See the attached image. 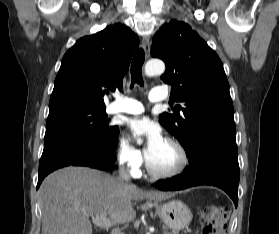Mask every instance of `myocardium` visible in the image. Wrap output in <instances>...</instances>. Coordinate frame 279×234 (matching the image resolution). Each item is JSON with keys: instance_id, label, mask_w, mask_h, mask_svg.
Returning <instances> with one entry per match:
<instances>
[{"instance_id": "myocardium-1", "label": "myocardium", "mask_w": 279, "mask_h": 234, "mask_svg": "<svg viewBox=\"0 0 279 234\" xmlns=\"http://www.w3.org/2000/svg\"><path fill=\"white\" fill-rule=\"evenodd\" d=\"M164 141L172 144L178 151L179 163L175 168H173L170 171H165V172L157 171L151 166L147 155L145 157V164H146L147 172L153 178L162 179V180L178 177L185 171V169L187 168V166L189 164V156H188L187 150L185 149L183 144L178 139H176L174 137H166V138H164Z\"/></svg>"}]
</instances>
